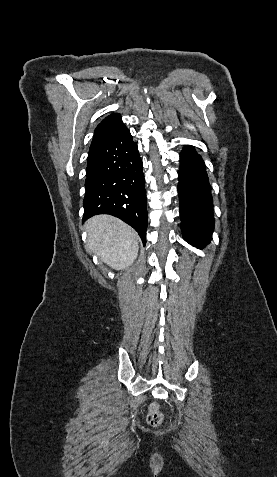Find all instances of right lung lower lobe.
Instances as JSON below:
<instances>
[{
    "label": "right lung lower lobe",
    "mask_w": 277,
    "mask_h": 477,
    "mask_svg": "<svg viewBox=\"0 0 277 477\" xmlns=\"http://www.w3.org/2000/svg\"><path fill=\"white\" fill-rule=\"evenodd\" d=\"M83 221L110 214L132 226L146 243L147 205L142 160L125 128L102 146L89 150Z\"/></svg>",
    "instance_id": "1"
}]
</instances>
